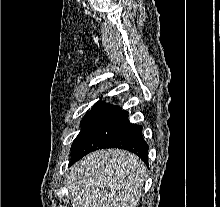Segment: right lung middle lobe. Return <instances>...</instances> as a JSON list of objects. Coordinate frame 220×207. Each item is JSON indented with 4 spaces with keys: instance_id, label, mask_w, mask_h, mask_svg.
Wrapping results in <instances>:
<instances>
[{
    "instance_id": "right-lung-middle-lobe-1",
    "label": "right lung middle lobe",
    "mask_w": 220,
    "mask_h": 207,
    "mask_svg": "<svg viewBox=\"0 0 220 207\" xmlns=\"http://www.w3.org/2000/svg\"><path fill=\"white\" fill-rule=\"evenodd\" d=\"M89 112L86 113L85 117L82 119L81 123L83 124Z\"/></svg>"
}]
</instances>
